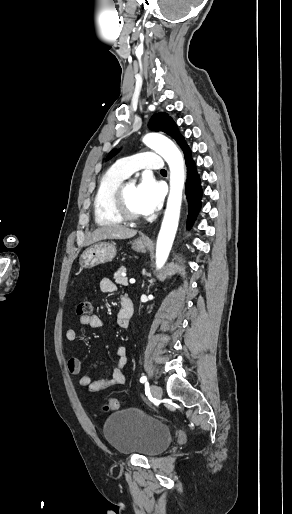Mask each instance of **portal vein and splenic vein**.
<instances>
[{"label":"portal vein and splenic vein","mask_w":292,"mask_h":514,"mask_svg":"<svg viewBox=\"0 0 292 514\" xmlns=\"http://www.w3.org/2000/svg\"><path fill=\"white\" fill-rule=\"evenodd\" d=\"M130 284H135V280H130Z\"/></svg>","instance_id":"18ae733b"}]
</instances>
